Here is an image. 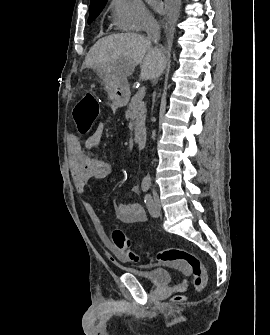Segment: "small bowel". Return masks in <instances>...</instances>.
Returning a JSON list of instances; mask_svg holds the SVG:
<instances>
[{
	"mask_svg": "<svg viewBox=\"0 0 270 335\" xmlns=\"http://www.w3.org/2000/svg\"><path fill=\"white\" fill-rule=\"evenodd\" d=\"M104 133L103 123H99L94 132L85 141L87 149H96L102 140ZM69 168L75 188L79 194H84L86 185L93 179H104L113 171V165L110 161L103 159H93L83 153L82 145L75 135L69 137L68 148ZM135 193L139 188H133ZM86 211L94 218L101 231L104 230V224L96 210L89 202H85ZM115 215L119 221L124 224H137L146 221V213L143 207L138 203H120L113 201Z\"/></svg>",
	"mask_w": 270,
	"mask_h": 335,
	"instance_id": "1",
	"label": "small bowel"
}]
</instances>
